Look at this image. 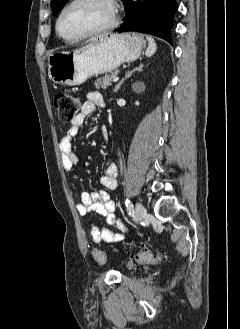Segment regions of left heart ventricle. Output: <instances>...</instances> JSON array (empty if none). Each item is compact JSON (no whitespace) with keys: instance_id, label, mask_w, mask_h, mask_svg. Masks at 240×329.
<instances>
[{"instance_id":"obj_1","label":"left heart ventricle","mask_w":240,"mask_h":329,"mask_svg":"<svg viewBox=\"0 0 240 329\" xmlns=\"http://www.w3.org/2000/svg\"><path fill=\"white\" fill-rule=\"evenodd\" d=\"M112 11L105 0H81L69 8L60 23L66 37H77L108 25Z\"/></svg>"}]
</instances>
